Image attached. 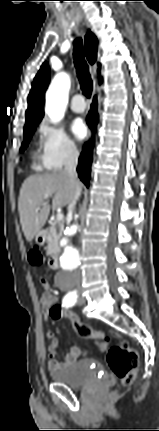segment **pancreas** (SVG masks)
Segmentation results:
<instances>
[{
    "label": "pancreas",
    "mask_w": 159,
    "mask_h": 431,
    "mask_svg": "<svg viewBox=\"0 0 159 431\" xmlns=\"http://www.w3.org/2000/svg\"><path fill=\"white\" fill-rule=\"evenodd\" d=\"M58 225V227L56 226ZM63 223L60 221H55V224L50 227V240L48 246L46 247V252L48 255H52L59 251V240L62 237Z\"/></svg>",
    "instance_id": "1"
}]
</instances>
